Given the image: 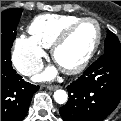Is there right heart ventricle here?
Returning <instances> with one entry per match:
<instances>
[{
  "label": "right heart ventricle",
  "instance_id": "1",
  "mask_svg": "<svg viewBox=\"0 0 121 121\" xmlns=\"http://www.w3.org/2000/svg\"><path fill=\"white\" fill-rule=\"evenodd\" d=\"M80 19L75 15L45 14L37 16L29 25L32 38L42 47L49 48L58 35L71 23Z\"/></svg>",
  "mask_w": 121,
  "mask_h": 121
}]
</instances>
